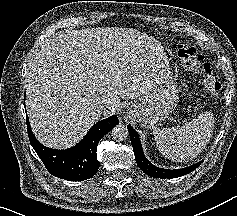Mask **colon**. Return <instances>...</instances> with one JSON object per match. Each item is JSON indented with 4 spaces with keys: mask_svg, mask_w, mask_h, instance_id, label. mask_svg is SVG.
Instances as JSON below:
<instances>
[{
    "mask_svg": "<svg viewBox=\"0 0 237 216\" xmlns=\"http://www.w3.org/2000/svg\"><path fill=\"white\" fill-rule=\"evenodd\" d=\"M177 53L184 67L192 70H198L203 73L208 84L216 87V89H219V83L211 75V67L209 63L197 54L194 46L184 41H180L178 43Z\"/></svg>",
    "mask_w": 237,
    "mask_h": 216,
    "instance_id": "5ec220e1",
    "label": "colon"
}]
</instances>
